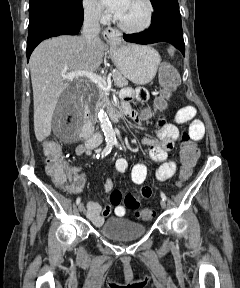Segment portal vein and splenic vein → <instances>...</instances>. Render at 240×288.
Segmentation results:
<instances>
[{"instance_id": "1", "label": "portal vein and splenic vein", "mask_w": 240, "mask_h": 288, "mask_svg": "<svg viewBox=\"0 0 240 288\" xmlns=\"http://www.w3.org/2000/svg\"><path fill=\"white\" fill-rule=\"evenodd\" d=\"M78 77H86L90 81L97 84L100 88H102L104 90H110V88H111L110 79H108L106 81L105 78H103V77H101V76H99L93 72L78 70V71H73V72L62 75V78L64 80H73L74 78H78Z\"/></svg>"}]
</instances>
